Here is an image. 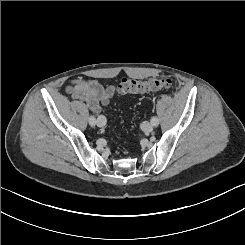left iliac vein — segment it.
Wrapping results in <instances>:
<instances>
[{
  "label": "left iliac vein",
  "instance_id": "left-iliac-vein-1",
  "mask_svg": "<svg viewBox=\"0 0 245 245\" xmlns=\"http://www.w3.org/2000/svg\"><path fill=\"white\" fill-rule=\"evenodd\" d=\"M154 128V125L151 122H143L142 129L145 132H151Z\"/></svg>",
  "mask_w": 245,
  "mask_h": 245
}]
</instances>
